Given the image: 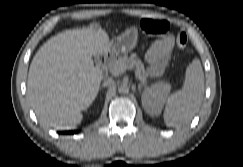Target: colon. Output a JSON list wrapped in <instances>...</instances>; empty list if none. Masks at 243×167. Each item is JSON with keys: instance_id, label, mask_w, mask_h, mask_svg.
<instances>
[{"instance_id": "colon-1", "label": "colon", "mask_w": 243, "mask_h": 167, "mask_svg": "<svg viewBox=\"0 0 243 167\" xmlns=\"http://www.w3.org/2000/svg\"><path fill=\"white\" fill-rule=\"evenodd\" d=\"M141 29L148 35H160L165 33L169 24L163 19L144 18L140 23ZM176 44L180 50H186L188 38L184 32H179L176 36Z\"/></svg>"}]
</instances>
